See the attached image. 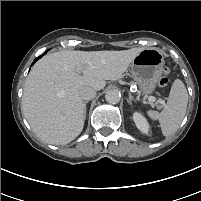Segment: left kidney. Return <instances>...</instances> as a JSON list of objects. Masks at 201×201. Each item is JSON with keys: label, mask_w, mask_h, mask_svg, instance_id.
Masks as SVG:
<instances>
[{"label": "left kidney", "mask_w": 201, "mask_h": 201, "mask_svg": "<svg viewBox=\"0 0 201 201\" xmlns=\"http://www.w3.org/2000/svg\"><path fill=\"white\" fill-rule=\"evenodd\" d=\"M133 121L136 124V127L145 134H148L149 132V124L147 119L139 112H135L133 114Z\"/></svg>", "instance_id": "obj_1"}]
</instances>
